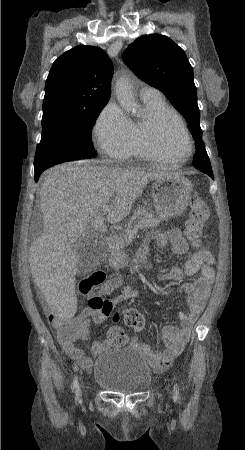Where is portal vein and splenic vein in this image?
<instances>
[{
  "mask_svg": "<svg viewBox=\"0 0 245 450\" xmlns=\"http://www.w3.org/2000/svg\"><path fill=\"white\" fill-rule=\"evenodd\" d=\"M101 211H102L103 214H106V213H108L110 211V207L109 206H103Z\"/></svg>",
  "mask_w": 245,
  "mask_h": 450,
  "instance_id": "obj_1",
  "label": "portal vein and splenic vein"
}]
</instances>
